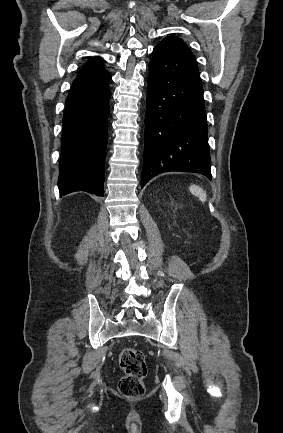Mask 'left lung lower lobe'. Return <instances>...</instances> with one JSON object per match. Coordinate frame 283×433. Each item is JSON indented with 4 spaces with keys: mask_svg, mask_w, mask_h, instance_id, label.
I'll list each match as a JSON object with an SVG mask.
<instances>
[{
    "mask_svg": "<svg viewBox=\"0 0 283 433\" xmlns=\"http://www.w3.org/2000/svg\"><path fill=\"white\" fill-rule=\"evenodd\" d=\"M147 86L142 187L169 171L211 179L203 88L192 53L179 46L157 45Z\"/></svg>",
    "mask_w": 283,
    "mask_h": 433,
    "instance_id": "left-lung-lower-lobe-1",
    "label": "left lung lower lobe"
}]
</instances>
